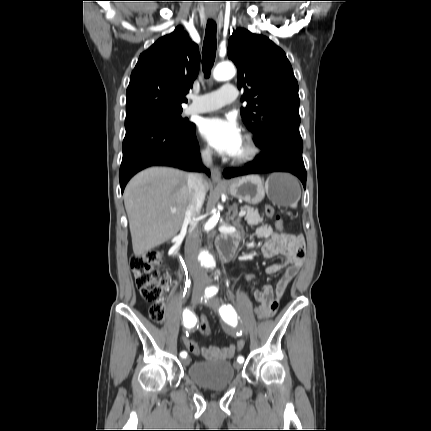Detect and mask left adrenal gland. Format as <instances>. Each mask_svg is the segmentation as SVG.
<instances>
[{"label":"left adrenal gland","instance_id":"left-adrenal-gland-1","mask_svg":"<svg viewBox=\"0 0 431 431\" xmlns=\"http://www.w3.org/2000/svg\"><path fill=\"white\" fill-rule=\"evenodd\" d=\"M236 215H237V204H234L233 205V214L230 217V219L233 222V224H238V222H239V220L237 222L234 221V218L236 217Z\"/></svg>","mask_w":431,"mask_h":431}]
</instances>
